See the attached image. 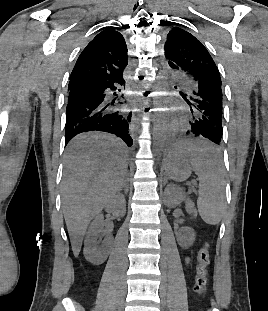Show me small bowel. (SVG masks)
<instances>
[{"instance_id":"obj_1","label":"small bowel","mask_w":268,"mask_h":311,"mask_svg":"<svg viewBox=\"0 0 268 311\" xmlns=\"http://www.w3.org/2000/svg\"><path fill=\"white\" fill-rule=\"evenodd\" d=\"M189 262H190V260L187 258V259H186V263L189 264Z\"/></svg>"}]
</instances>
